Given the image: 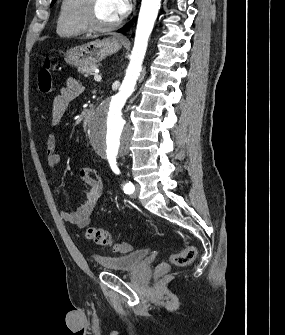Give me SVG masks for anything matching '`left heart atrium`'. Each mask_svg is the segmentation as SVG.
<instances>
[{
  "instance_id": "obj_1",
  "label": "left heart atrium",
  "mask_w": 285,
  "mask_h": 335,
  "mask_svg": "<svg viewBox=\"0 0 285 335\" xmlns=\"http://www.w3.org/2000/svg\"><path fill=\"white\" fill-rule=\"evenodd\" d=\"M129 1H114L116 20L122 19L128 11Z\"/></svg>"
}]
</instances>
